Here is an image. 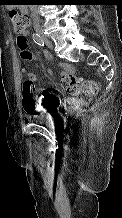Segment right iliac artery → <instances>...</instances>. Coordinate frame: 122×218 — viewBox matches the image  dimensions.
Segmentation results:
<instances>
[{"label":"right iliac artery","mask_w":122,"mask_h":218,"mask_svg":"<svg viewBox=\"0 0 122 218\" xmlns=\"http://www.w3.org/2000/svg\"><path fill=\"white\" fill-rule=\"evenodd\" d=\"M33 41L39 45V46H44V41L42 40L41 36L38 34H33L32 35Z\"/></svg>","instance_id":"right-iliac-artery-1"}]
</instances>
